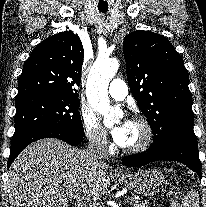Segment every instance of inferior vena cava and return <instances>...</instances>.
<instances>
[{"label":"inferior vena cava","instance_id":"obj_1","mask_svg":"<svg viewBox=\"0 0 206 207\" xmlns=\"http://www.w3.org/2000/svg\"><path fill=\"white\" fill-rule=\"evenodd\" d=\"M87 153L89 155L90 161H92V163L95 165L100 163L102 160L108 159L106 138H102V136L96 134L91 135L89 138ZM90 207L96 206H92L90 204Z\"/></svg>","mask_w":206,"mask_h":207}]
</instances>
